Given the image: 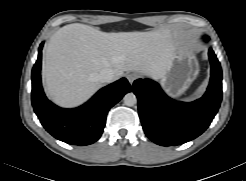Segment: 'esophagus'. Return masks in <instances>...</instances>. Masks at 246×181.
I'll use <instances>...</instances> for the list:
<instances>
[{"instance_id":"esophagus-1","label":"esophagus","mask_w":246,"mask_h":181,"mask_svg":"<svg viewBox=\"0 0 246 181\" xmlns=\"http://www.w3.org/2000/svg\"><path fill=\"white\" fill-rule=\"evenodd\" d=\"M137 75L135 73H130L127 75V80L129 81V83L132 85L133 82L136 80Z\"/></svg>"}]
</instances>
